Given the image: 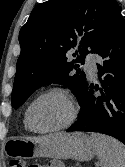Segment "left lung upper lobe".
Segmentation results:
<instances>
[{"label":"left lung upper lobe","instance_id":"1","mask_svg":"<svg viewBox=\"0 0 125 167\" xmlns=\"http://www.w3.org/2000/svg\"><path fill=\"white\" fill-rule=\"evenodd\" d=\"M120 12L115 0H49L37 5L19 33L12 107L17 109L37 88L51 83L70 87L80 99L87 81L79 67L88 49L96 53L100 48ZM69 51H75V60L67 59Z\"/></svg>","mask_w":125,"mask_h":167}]
</instances>
